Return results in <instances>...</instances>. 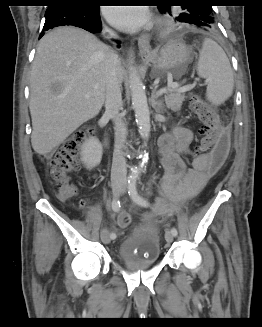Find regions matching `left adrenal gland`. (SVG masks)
<instances>
[{"mask_svg": "<svg viewBox=\"0 0 262 327\" xmlns=\"http://www.w3.org/2000/svg\"><path fill=\"white\" fill-rule=\"evenodd\" d=\"M151 105L153 107V109L158 112V113H163L162 111V102L161 101H157V94L156 91L153 90L152 91V95H151Z\"/></svg>", "mask_w": 262, "mask_h": 327, "instance_id": "obj_1", "label": "left adrenal gland"}]
</instances>
